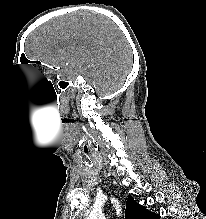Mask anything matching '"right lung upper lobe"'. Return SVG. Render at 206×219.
Listing matches in <instances>:
<instances>
[{
    "label": "right lung upper lobe",
    "instance_id": "obj_1",
    "mask_svg": "<svg viewBox=\"0 0 206 219\" xmlns=\"http://www.w3.org/2000/svg\"><path fill=\"white\" fill-rule=\"evenodd\" d=\"M158 217L159 214L150 212L145 206L138 204L132 196H128L125 219H157Z\"/></svg>",
    "mask_w": 206,
    "mask_h": 219
}]
</instances>
